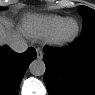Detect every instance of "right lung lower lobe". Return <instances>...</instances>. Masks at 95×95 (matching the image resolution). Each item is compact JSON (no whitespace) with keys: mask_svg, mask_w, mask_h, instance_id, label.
<instances>
[{"mask_svg":"<svg viewBox=\"0 0 95 95\" xmlns=\"http://www.w3.org/2000/svg\"><path fill=\"white\" fill-rule=\"evenodd\" d=\"M35 58L33 48L20 54L6 46L0 48V95L18 94L27 67Z\"/></svg>","mask_w":95,"mask_h":95,"instance_id":"obj_1","label":"right lung lower lobe"}]
</instances>
